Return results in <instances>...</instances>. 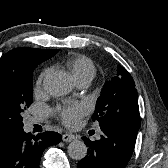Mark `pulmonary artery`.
<instances>
[{
	"mask_svg": "<svg viewBox=\"0 0 168 168\" xmlns=\"http://www.w3.org/2000/svg\"><path fill=\"white\" fill-rule=\"evenodd\" d=\"M90 82H91V80L83 79V80H80V81H78L76 83H77V86L79 88H86V87L89 86Z\"/></svg>",
	"mask_w": 168,
	"mask_h": 168,
	"instance_id": "1",
	"label": "pulmonary artery"
}]
</instances>
